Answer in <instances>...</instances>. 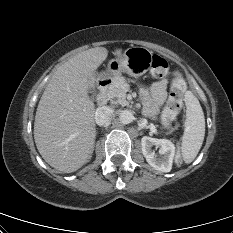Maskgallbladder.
<instances>
[{
	"instance_id": "bac80fb5",
	"label": "gallbladder",
	"mask_w": 233,
	"mask_h": 233,
	"mask_svg": "<svg viewBox=\"0 0 233 233\" xmlns=\"http://www.w3.org/2000/svg\"><path fill=\"white\" fill-rule=\"evenodd\" d=\"M89 93L91 94V97L94 98L95 95H96V90H95V88H90V89H89Z\"/></svg>"
}]
</instances>
